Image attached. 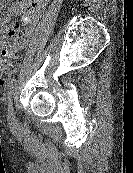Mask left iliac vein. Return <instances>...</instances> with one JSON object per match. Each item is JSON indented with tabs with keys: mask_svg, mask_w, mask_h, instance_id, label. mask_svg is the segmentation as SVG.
<instances>
[{
	"mask_svg": "<svg viewBox=\"0 0 133 173\" xmlns=\"http://www.w3.org/2000/svg\"><path fill=\"white\" fill-rule=\"evenodd\" d=\"M7 120L9 124L14 125L16 123V115L14 109V102L12 99L8 102V109H7Z\"/></svg>",
	"mask_w": 133,
	"mask_h": 173,
	"instance_id": "4c4485c4",
	"label": "left iliac vein"
}]
</instances>
